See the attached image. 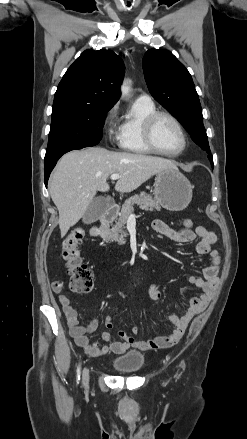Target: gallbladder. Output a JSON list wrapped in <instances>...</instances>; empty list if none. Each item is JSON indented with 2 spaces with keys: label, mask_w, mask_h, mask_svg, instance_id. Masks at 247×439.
Returning a JSON list of instances; mask_svg holds the SVG:
<instances>
[{
  "label": "gallbladder",
  "mask_w": 247,
  "mask_h": 439,
  "mask_svg": "<svg viewBox=\"0 0 247 439\" xmlns=\"http://www.w3.org/2000/svg\"><path fill=\"white\" fill-rule=\"evenodd\" d=\"M109 202L106 198L99 196L93 199V201L88 206L84 216L83 222L91 224L97 221L101 215L106 211Z\"/></svg>",
  "instance_id": "obj_1"
}]
</instances>
